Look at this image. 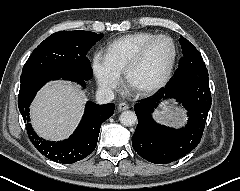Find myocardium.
<instances>
[{"label":"myocardium","instance_id":"1","mask_svg":"<svg viewBox=\"0 0 240 191\" xmlns=\"http://www.w3.org/2000/svg\"><path fill=\"white\" fill-rule=\"evenodd\" d=\"M160 39L168 40L171 43V46H172V56H171V60H170V63L168 65L167 69H166L165 74L156 84H154L152 86L138 87V88L132 87L130 85V82H129L130 75H131L132 71L138 65H140L141 62L144 60V58H145L149 48L151 47V45L154 42H156L157 40H160ZM176 59H177V46H176L173 38H171L169 35H166V34L155 35L143 44V46L139 49V51L136 53V55L133 57V59L125 67V69H124L125 81L139 95L148 96V95L154 94L155 92H157L161 88H163L167 84V82L169 81V79L172 75L175 63H176Z\"/></svg>","mask_w":240,"mask_h":191}]
</instances>
